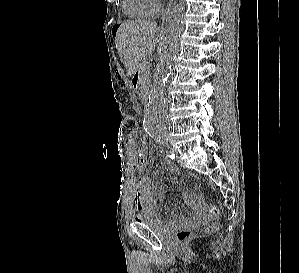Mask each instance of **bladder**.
I'll use <instances>...</instances> for the list:
<instances>
[{
  "instance_id": "obj_1",
  "label": "bladder",
  "mask_w": 299,
  "mask_h": 273,
  "mask_svg": "<svg viewBox=\"0 0 299 273\" xmlns=\"http://www.w3.org/2000/svg\"><path fill=\"white\" fill-rule=\"evenodd\" d=\"M136 223L144 224L156 231L164 232L167 223L157 211L145 209L136 214Z\"/></svg>"
}]
</instances>
